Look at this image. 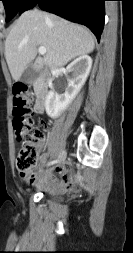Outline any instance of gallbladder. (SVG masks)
<instances>
[{"label": "gallbladder", "instance_id": "bac80fb5", "mask_svg": "<svg viewBox=\"0 0 133 253\" xmlns=\"http://www.w3.org/2000/svg\"><path fill=\"white\" fill-rule=\"evenodd\" d=\"M39 72L31 65L23 72L21 76V82L26 84H32L38 77Z\"/></svg>", "mask_w": 133, "mask_h": 253}]
</instances>
